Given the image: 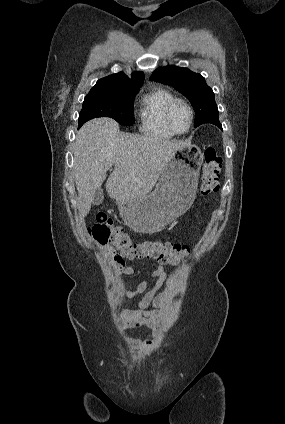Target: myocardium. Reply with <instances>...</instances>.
<instances>
[{
	"mask_svg": "<svg viewBox=\"0 0 285 424\" xmlns=\"http://www.w3.org/2000/svg\"><path fill=\"white\" fill-rule=\"evenodd\" d=\"M177 105H183V106H185L186 108H187V110H188V112H189V115H190V122H189V125H188V128L186 129V130H184V131H178L174 126H173V124H172V121H171V115H172V111H173V109L177 106ZM165 121H166V124H167V126H168V128L174 133V134H176V135H183V134H186V133H188L190 130H191V128H192V126H193V123H194V110H193V108H192V106L187 102V101H185V100H183V99H179V98H176L169 106H168V108H167V110H166V113H165Z\"/></svg>",
	"mask_w": 285,
	"mask_h": 424,
	"instance_id": "f54148a6",
	"label": "myocardium"
}]
</instances>
